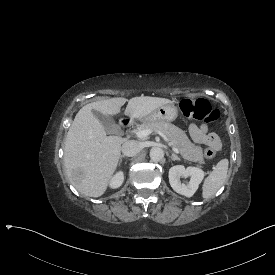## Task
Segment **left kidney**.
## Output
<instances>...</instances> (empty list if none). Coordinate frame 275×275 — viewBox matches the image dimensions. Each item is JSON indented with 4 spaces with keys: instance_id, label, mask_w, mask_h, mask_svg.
I'll use <instances>...</instances> for the list:
<instances>
[{
    "instance_id": "left-kidney-1",
    "label": "left kidney",
    "mask_w": 275,
    "mask_h": 275,
    "mask_svg": "<svg viewBox=\"0 0 275 275\" xmlns=\"http://www.w3.org/2000/svg\"><path fill=\"white\" fill-rule=\"evenodd\" d=\"M204 173L201 169L182 165L171 167L169 170V182L172 189L185 197H192L198 189L202 181ZM181 178L187 179L186 183L181 181Z\"/></svg>"
}]
</instances>
